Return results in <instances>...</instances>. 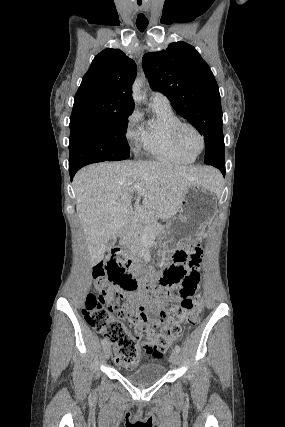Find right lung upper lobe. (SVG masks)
I'll use <instances>...</instances> for the list:
<instances>
[{"mask_svg": "<svg viewBox=\"0 0 285 427\" xmlns=\"http://www.w3.org/2000/svg\"><path fill=\"white\" fill-rule=\"evenodd\" d=\"M135 62L119 49L95 56L74 97L70 121L107 115H130L134 110L131 85Z\"/></svg>", "mask_w": 285, "mask_h": 427, "instance_id": "1", "label": "right lung upper lobe"}]
</instances>
